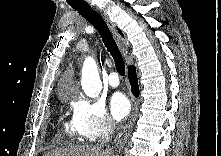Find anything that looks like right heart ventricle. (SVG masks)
Listing matches in <instances>:
<instances>
[{"mask_svg":"<svg viewBox=\"0 0 221 156\" xmlns=\"http://www.w3.org/2000/svg\"><path fill=\"white\" fill-rule=\"evenodd\" d=\"M66 130H67V132H68L69 134H71L72 131H71L70 127L67 126V125H66Z\"/></svg>","mask_w":221,"mask_h":156,"instance_id":"obj_1","label":"right heart ventricle"}]
</instances>
